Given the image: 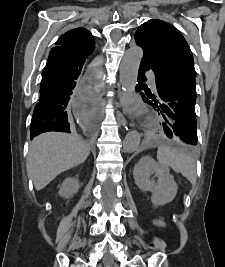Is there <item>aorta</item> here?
Segmentation results:
<instances>
[{
    "label": "aorta",
    "mask_w": 225,
    "mask_h": 267,
    "mask_svg": "<svg viewBox=\"0 0 225 267\" xmlns=\"http://www.w3.org/2000/svg\"><path fill=\"white\" fill-rule=\"evenodd\" d=\"M143 57V49L131 46L125 53L120 65V82L128 92H134L137 83L138 69ZM140 145V135L137 131L129 132L123 142L124 151L135 152Z\"/></svg>",
    "instance_id": "762f6f07"
}]
</instances>
